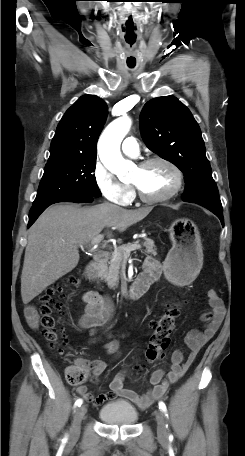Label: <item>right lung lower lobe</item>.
Segmentation results:
<instances>
[{"label":"right lung lower lobe","instance_id":"obj_1","mask_svg":"<svg viewBox=\"0 0 245 456\" xmlns=\"http://www.w3.org/2000/svg\"><path fill=\"white\" fill-rule=\"evenodd\" d=\"M92 201H93L92 196H79V197L63 198V199L47 202V203H44L41 205H35L30 210L28 228L35 222V220L38 218V216L51 204L58 203V202L84 203V202H92Z\"/></svg>","mask_w":245,"mask_h":456}]
</instances>
